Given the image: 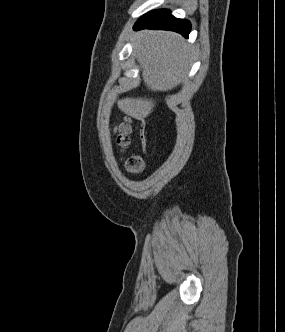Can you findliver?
<instances>
[{"label":"liver","instance_id":"6515ba94","mask_svg":"<svg viewBox=\"0 0 285 332\" xmlns=\"http://www.w3.org/2000/svg\"><path fill=\"white\" fill-rule=\"evenodd\" d=\"M135 52L145 85L151 91H168L179 85L189 69L191 49L177 33L144 30L136 34ZM126 115L143 120L155 107L152 100L124 98L118 101Z\"/></svg>","mask_w":285,"mask_h":332}]
</instances>
